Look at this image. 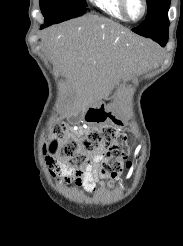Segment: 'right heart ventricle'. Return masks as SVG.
<instances>
[{"label": "right heart ventricle", "instance_id": "obj_1", "mask_svg": "<svg viewBox=\"0 0 183 246\" xmlns=\"http://www.w3.org/2000/svg\"><path fill=\"white\" fill-rule=\"evenodd\" d=\"M95 7L108 14L109 16L121 21H126L121 6L120 0H90Z\"/></svg>", "mask_w": 183, "mask_h": 246}]
</instances>
